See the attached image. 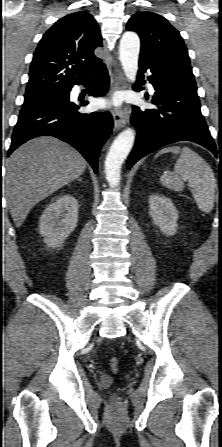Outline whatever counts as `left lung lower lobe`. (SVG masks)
<instances>
[{
	"mask_svg": "<svg viewBox=\"0 0 222 447\" xmlns=\"http://www.w3.org/2000/svg\"><path fill=\"white\" fill-rule=\"evenodd\" d=\"M148 69L151 72L148 80L156 90L151 102L157 107L133 108L131 123L137 129V138L128 157V169L156 149L181 140L198 143L217 156L216 145L200 111L197 91L147 60L139 61L138 80L143 79Z\"/></svg>",
	"mask_w": 222,
	"mask_h": 447,
	"instance_id": "0a47b994",
	"label": "left lung lower lobe"
}]
</instances>
